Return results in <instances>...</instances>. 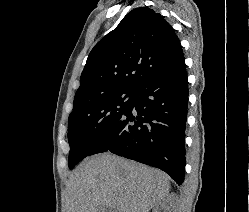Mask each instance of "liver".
<instances>
[{"instance_id":"6515ba94","label":"liver","mask_w":249,"mask_h":212,"mask_svg":"<svg viewBox=\"0 0 249 212\" xmlns=\"http://www.w3.org/2000/svg\"><path fill=\"white\" fill-rule=\"evenodd\" d=\"M66 186V212H149L170 190L165 172L110 152L85 158Z\"/></svg>"}]
</instances>
